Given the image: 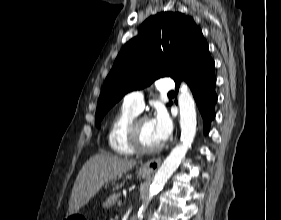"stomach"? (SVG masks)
Segmentation results:
<instances>
[{"instance_id":"stomach-1","label":"stomach","mask_w":281,"mask_h":220,"mask_svg":"<svg viewBox=\"0 0 281 220\" xmlns=\"http://www.w3.org/2000/svg\"><path fill=\"white\" fill-rule=\"evenodd\" d=\"M151 174L152 172L147 170L145 166L140 167L137 171L138 177H142V178H149ZM80 219L82 218L78 214H72L66 217V220H80Z\"/></svg>"}]
</instances>
